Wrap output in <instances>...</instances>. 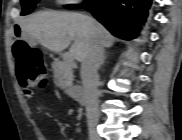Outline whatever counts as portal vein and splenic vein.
<instances>
[{
	"label": "portal vein and splenic vein",
	"instance_id": "portal-vein-and-splenic-vein-1",
	"mask_svg": "<svg viewBox=\"0 0 182 140\" xmlns=\"http://www.w3.org/2000/svg\"><path fill=\"white\" fill-rule=\"evenodd\" d=\"M73 59H74V57L70 52L65 54V60L66 61L72 62Z\"/></svg>",
	"mask_w": 182,
	"mask_h": 140
}]
</instances>
